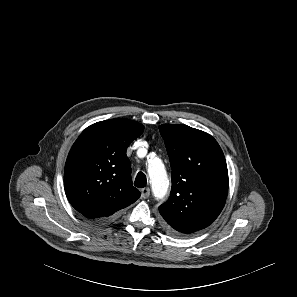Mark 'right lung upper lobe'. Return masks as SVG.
<instances>
[{
    "label": "right lung upper lobe",
    "mask_w": 297,
    "mask_h": 297,
    "mask_svg": "<svg viewBox=\"0 0 297 297\" xmlns=\"http://www.w3.org/2000/svg\"><path fill=\"white\" fill-rule=\"evenodd\" d=\"M143 130L138 122L116 118L95 123L81 133L64 171L66 196L78 212L90 219L108 220L140 197L132 184L126 150Z\"/></svg>",
    "instance_id": "obj_1"
}]
</instances>
